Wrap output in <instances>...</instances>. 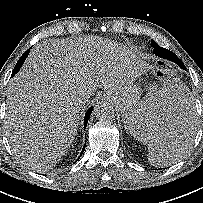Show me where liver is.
<instances>
[{
	"label": "liver",
	"instance_id": "1",
	"mask_svg": "<svg viewBox=\"0 0 203 203\" xmlns=\"http://www.w3.org/2000/svg\"><path fill=\"white\" fill-rule=\"evenodd\" d=\"M141 66L131 51L103 38L38 43L7 88L4 124L14 155L35 172L51 170L73 143L81 108L95 90L110 99ZM187 133L186 121L168 112L153 138L159 144Z\"/></svg>",
	"mask_w": 203,
	"mask_h": 203
}]
</instances>
